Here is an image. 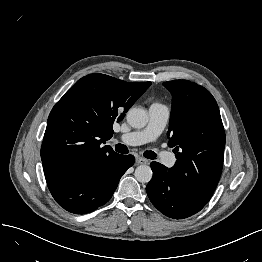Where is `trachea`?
Here are the masks:
<instances>
[{
  "label": "trachea",
  "mask_w": 262,
  "mask_h": 262,
  "mask_svg": "<svg viewBox=\"0 0 262 262\" xmlns=\"http://www.w3.org/2000/svg\"><path fill=\"white\" fill-rule=\"evenodd\" d=\"M115 150L122 154L128 153V148L125 145L120 144V143L115 145ZM143 155L144 157L148 159H156V156H157V154L153 151H145Z\"/></svg>",
  "instance_id": "trachea-1"
}]
</instances>
